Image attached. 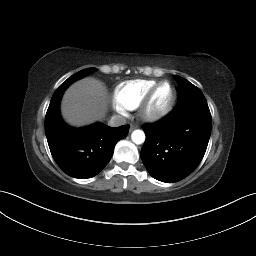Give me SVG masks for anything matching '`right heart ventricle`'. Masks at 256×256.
<instances>
[{
    "label": "right heart ventricle",
    "mask_w": 256,
    "mask_h": 256,
    "mask_svg": "<svg viewBox=\"0 0 256 256\" xmlns=\"http://www.w3.org/2000/svg\"><path fill=\"white\" fill-rule=\"evenodd\" d=\"M156 80L136 79L120 83L114 90L113 100L117 108L133 110L138 107Z\"/></svg>",
    "instance_id": "1"
}]
</instances>
